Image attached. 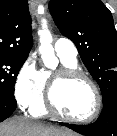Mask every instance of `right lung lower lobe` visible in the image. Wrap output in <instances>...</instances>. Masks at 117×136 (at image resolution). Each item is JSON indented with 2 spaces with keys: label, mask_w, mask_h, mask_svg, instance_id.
Returning <instances> with one entry per match:
<instances>
[{
  "label": "right lung lower lobe",
  "mask_w": 117,
  "mask_h": 136,
  "mask_svg": "<svg viewBox=\"0 0 117 136\" xmlns=\"http://www.w3.org/2000/svg\"><path fill=\"white\" fill-rule=\"evenodd\" d=\"M15 97L0 94V122L8 118L16 109Z\"/></svg>",
  "instance_id": "1"
}]
</instances>
